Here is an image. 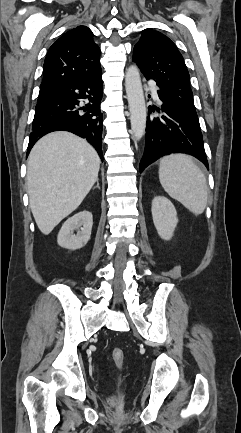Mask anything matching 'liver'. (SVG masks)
<instances>
[{"label":"liver","instance_id":"liver-1","mask_svg":"<svg viewBox=\"0 0 241 433\" xmlns=\"http://www.w3.org/2000/svg\"><path fill=\"white\" fill-rule=\"evenodd\" d=\"M99 168L95 149L72 133L53 132L34 145L27 162V186L30 208L43 234L82 203Z\"/></svg>","mask_w":241,"mask_h":433}]
</instances>
